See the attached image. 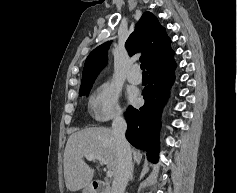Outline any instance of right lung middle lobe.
<instances>
[{
	"label": "right lung middle lobe",
	"mask_w": 237,
	"mask_h": 193,
	"mask_svg": "<svg viewBox=\"0 0 237 193\" xmlns=\"http://www.w3.org/2000/svg\"><path fill=\"white\" fill-rule=\"evenodd\" d=\"M91 87L92 86L84 88V89H80V93H79L80 96L85 95V94L88 95V93L90 92Z\"/></svg>",
	"instance_id": "obj_1"
}]
</instances>
